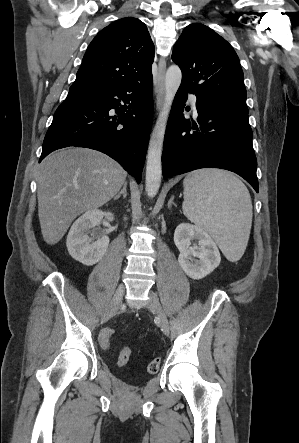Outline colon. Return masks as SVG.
<instances>
[{
	"label": "colon",
	"instance_id": "1",
	"mask_svg": "<svg viewBox=\"0 0 299 443\" xmlns=\"http://www.w3.org/2000/svg\"><path fill=\"white\" fill-rule=\"evenodd\" d=\"M114 333L115 332L113 329H104L99 336L100 343L103 346L107 347L110 343V340L114 336ZM130 357H131V350L129 348H123L119 353L118 363L120 365H124L130 360ZM160 365H161L160 358L155 357L149 362L147 370L149 373L152 374L156 373L160 369Z\"/></svg>",
	"mask_w": 299,
	"mask_h": 443
}]
</instances>
